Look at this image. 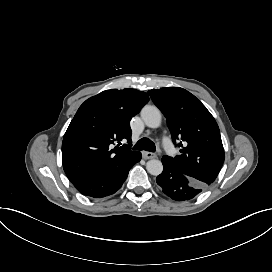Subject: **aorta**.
<instances>
[{"label": "aorta", "instance_id": "aorta-1", "mask_svg": "<svg viewBox=\"0 0 272 272\" xmlns=\"http://www.w3.org/2000/svg\"><path fill=\"white\" fill-rule=\"evenodd\" d=\"M141 117L149 128L157 129L161 126L162 115L156 106L146 105L141 110ZM146 169L151 175L156 176L162 173L163 165L159 159H151L146 163Z\"/></svg>", "mask_w": 272, "mask_h": 272}]
</instances>
